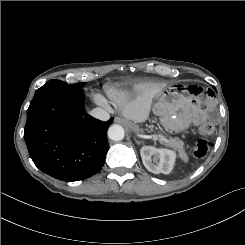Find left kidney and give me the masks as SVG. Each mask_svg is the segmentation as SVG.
<instances>
[{
    "mask_svg": "<svg viewBox=\"0 0 245 245\" xmlns=\"http://www.w3.org/2000/svg\"><path fill=\"white\" fill-rule=\"evenodd\" d=\"M140 154L146 169L154 174H169L174 167L176 154L172 150L144 146Z\"/></svg>",
    "mask_w": 245,
    "mask_h": 245,
    "instance_id": "left-kidney-1",
    "label": "left kidney"
}]
</instances>
